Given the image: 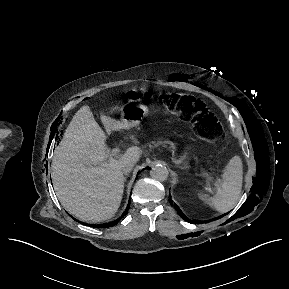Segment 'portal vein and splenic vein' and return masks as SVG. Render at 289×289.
I'll use <instances>...</instances> for the list:
<instances>
[{
  "label": "portal vein and splenic vein",
  "mask_w": 289,
  "mask_h": 289,
  "mask_svg": "<svg viewBox=\"0 0 289 289\" xmlns=\"http://www.w3.org/2000/svg\"><path fill=\"white\" fill-rule=\"evenodd\" d=\"M117 150L116 149H114L112 152H111V154H110V159H113V158H115L116 156H117ZM208 179L209 180H214L210 175H208Z\"/></svg>",
  "instance_id": "portal-vein-and-splenic-vein-1"
}]
</instances>
